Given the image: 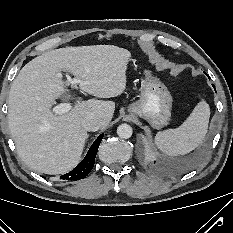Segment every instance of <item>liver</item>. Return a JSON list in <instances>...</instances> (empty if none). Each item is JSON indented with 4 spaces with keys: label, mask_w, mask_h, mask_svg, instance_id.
Returning <instances> with one entry per match:
<instances>
[{
    "label": "liver",
    "mask_w": 233,
    "mask_h": 233,
    "mask_svg": "<svg viewBox=\"0 0 233 233\" xmlns=\"http://www.w3.org/2000/svg\"><path fill=\"white\" fill-rule=\"evenodd\" d=\"M131 56L114 45L66 47L28 62L14 79L8 98V125L17 152L32 170L63 174L79 162L87 131L82 120L98 116L106 127L115 110L113 101L77 98L61 115L51 110L66 93L63 73L79 79V88L98 98L121 95Z\"/></svg>",
    "instance_id": "1"
}]
</instances>
